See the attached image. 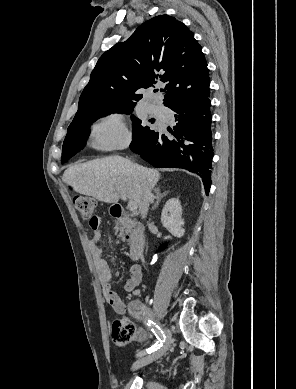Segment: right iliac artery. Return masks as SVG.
I'll return each mask as SVG.
<instances>
[{"label":"right iliac artery","instance_id":"right-iliac-artery-1","mask_svg":"<svg viewBox=\"0 0 296 389\" xmlns=\"http://www.w3.org/2000/svg\"><path fill=\"white\" fill-rule=\"evenodd\" d=\"M134 309H135V311L133 312V314L137 317L139 315H141L142 313H145L144 306L135 305ZM146 323H147V326H149L151 328V331L155 334L158 341L152 347L146 349V351L140 352L138 354V356H143L147 353L150 354V353L156 351L157 349H159L163 345V342L165 341V338H166L163 331L161 330V328L155 322L148 320Z\"/></svg>","mask_w":296,"mask_h":389}]
</instances>
